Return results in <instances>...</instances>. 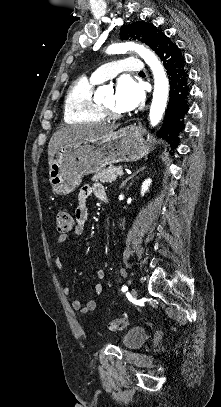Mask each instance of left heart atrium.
<instances>
[{"instance_id":"obj_1","label":"left heart atrium","mask_w":221,"mask_h":407,"mask_svg":"<svg viewBox=\"0 0 221 407\" xmlns=\"http://www.w3.org/2000/svg\"><path fill=\"white\" fill-rule=\"evenodd\" d=\"M115 95L118 106L124 111L136 108L144 100L143 88L129 76H123L118 79Z\"/></svg>"}]
</instances>
